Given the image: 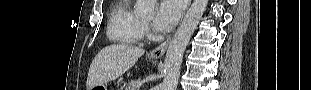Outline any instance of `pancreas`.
<instances>
[{"mask_svg":"<svg viewBox=\"0 0 311 90\" xmlns=\"http://www.w3.org/2000/svg\"><path fill=\"white\" fill-rule=\"evenodd\" d=\"M126 90H139V81L132 80Z\"/></svg>","mask_w":311,"mask_h":90,"instance_id":"obj_1","label":"pancreas"}]
</instances>
